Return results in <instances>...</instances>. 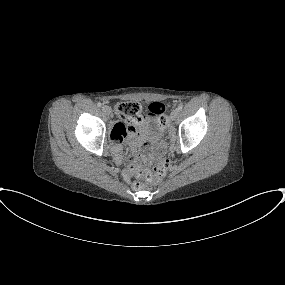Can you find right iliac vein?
Here are the masks:
<instances>
[{
	"mask_svg": "<svg viewBox=\"0 0 285 285\" xmlns=\"http://www.w3.org/2000/svg\"><path fill=\"white\" fill-rule=\"evenodd\" d=\"M102 111H103L106 115H109L110 112H111V109H110L109 106L104 105V106L102 107Z\"/></svg>",
	"mask_w": 285,
	"mask_h": 285,
	"instance_id": "1",
	"label": "right iliac vein"
}]
</instances>
